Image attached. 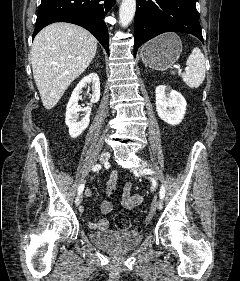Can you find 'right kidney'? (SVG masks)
<instances>
[{
  "mask_svg": "<svg viewBox=\"0 0 240 281\" xmlns=\"http://www.w3.org/2000/svg\"><path fill=\"white\" fill-rule=\"evenodd\" d=\"M87 84H92L93 92L91 95L90 104L96 103L100 99L99 77L96 73H91L78 83L73 90L67 104L65 122L69 128V135L72 138H76L81 135L90 123L91 107L88 105L87 107L83 108L78 104L79 99H81L80 93L82 88H84ZM80 112H84V117H82V119L79 121L78 119Z\"/></svg>",
  "mask_w": 240,
  "mask_h": 281,
  "instance_id": "ca27d5eb",
  "label": "right kidney"
}]
</instances>
